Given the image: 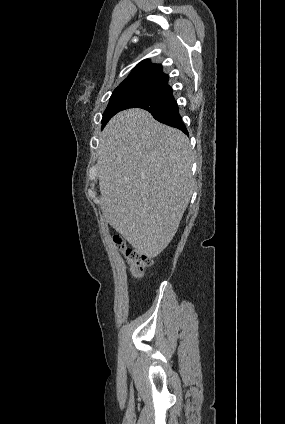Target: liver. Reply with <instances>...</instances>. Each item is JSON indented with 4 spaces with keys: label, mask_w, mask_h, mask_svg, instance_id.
<instances>
[{
    "label": "liver",
    "mask_w": 285,
    "mask_h": 424,
    "mask_svg": "<svg viewBox=\"0 0 285 424\" xmlns=\"http://www.w3.org/2000/svg\"><path fill=\"white\" fill-rule=\"evenodd\" d=\"M97 165L108 223L140 254L158 256L193 192L188 137L145 110H124L99 136Z\"/></svg>",
    "instance_id": "obj_1"
}]
</instances>
